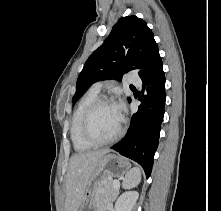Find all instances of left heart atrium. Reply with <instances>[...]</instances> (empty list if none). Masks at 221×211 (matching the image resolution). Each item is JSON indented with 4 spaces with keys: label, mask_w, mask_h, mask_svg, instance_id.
Segmentation results:
<instances>
[{
    "label": "left heart atrium",
    "mask_w": 221,
    "mask_h": 211,
    "mask_svg": "<svg viewBox=\"0 0 221 211\" xmlns=\"http://www.w3.org/2000/svg\"><path fill=\"white\" fill-rule=\"evenodd\" d=\"M115 110L117 111V113L122 117V113L124 110V104L122 101H117L116 103L113 104Z\"/></svg>",
    "instance_id": "39dd6f15"
}]
</instances>
